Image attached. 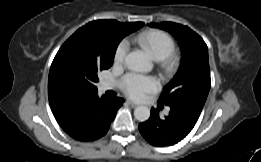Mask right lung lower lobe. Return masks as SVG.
Wrapping results in <instances>:
<instances>
[{
  "mask_svg": "<svg viewBox=\"0 0 261 162\" xmlns=\"http://www.w3.org/2000/svg\"><path fill=\"white\" fill-rule=\"evenodd\" d=\"M124 100L98 97L95 93L78 104H74L55 116L58 124L72 138L78 141H93L104 136L117 110Z\"/></svg>",
  "mask_w": 261,
  "mask_h": 162,
  "instance_id": "98d812e1",
  "label": "right lung lower lobe"
}]
</instances>
